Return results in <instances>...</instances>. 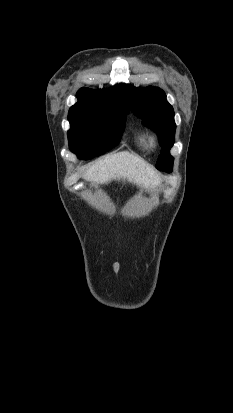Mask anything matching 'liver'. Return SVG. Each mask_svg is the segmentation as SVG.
I'll use <instances>...</instances> for the list:
<instances>
[{
  "instance_id": "obj_1",
  "label": "liver",
  "mask_w": 233,
  "mask_h": 413,
  "mask_svg": "<svg viewBox=\"0 0 233 413\" xmlns=\"http://www.w3.org/2000/svg\"><path fill=\"white\" fill-rule=\"evenodd\" d=\"M83 178L95 185L112 180H127L148 190L161 183L159 175L146 161L127 151L98 160L85 172Z\"/></svg>"
}]
</instances>
